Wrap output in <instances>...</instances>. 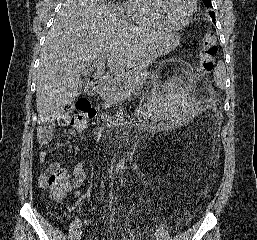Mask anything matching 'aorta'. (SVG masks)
<instances>
[{
    "label": "aorta",
    "mask_w": 257,
    "mask_h": 240,
    "mask_svg": "<svg viewBox=\"0 0 257 240\" xmlns=\"http://www.w3.org/2000/svg\"><path fill=\"white\" fill-rule=\"evenodd\" d=\"M118 169L122 173L125 170V159L121 158L118 164Z\"/></svg>",
    "instance_id": "762f6f07"
}]
</instances>
